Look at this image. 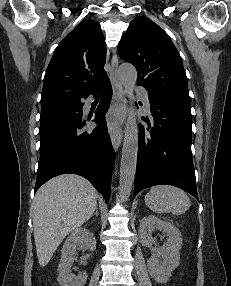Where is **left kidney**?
Masks as SVG:
<instances>
[{"label":"left kidney","instance_id":"obj_1","mask_svg":"<svg viewBox=\"0 0 231 286\" xmlns=\"http://www.w3.org/2000/svg\"><path fill=\"white\" fill-rule=\"evenodd\" d=\"M163 231L167 240L160 249L153 248L155 242L152 232ZM141 243L151 248L153 254L147 261L150 276L158 283H165L171 276V272L179 265L182 237L180 231L171 223L161 220L154 215L144 217L139 226ZM161 257V261L159 260Z\"/></svg>","mask_w":231,"mask_h":286}]
</instances>
